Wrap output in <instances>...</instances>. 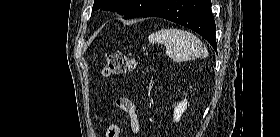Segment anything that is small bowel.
Masks as SVG:
<instances>
[{"label":"small bowel","instance_id":"small-bowel-1","mask_svg":"<svg viewBox=\"0 0 280 137\" xmlns=\"http://www.w3.org/2000/svg\"><path fill=\"white\" fill-rule=\"evenodd\" d=\"M115 103L118 109L122 111L126 116V118L128 119L131 129L134 132H138L140 129L139 122H138V115H139L138 104L129 98H119L116 100ZM111 127H118V126L111 125L109 128Z\"/></svg>","mask_w":280,"mask_h":137}]
</instances>
